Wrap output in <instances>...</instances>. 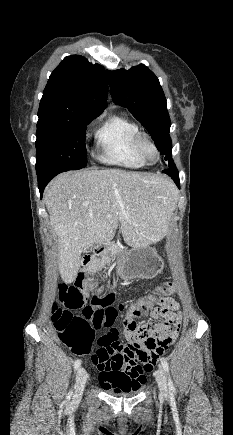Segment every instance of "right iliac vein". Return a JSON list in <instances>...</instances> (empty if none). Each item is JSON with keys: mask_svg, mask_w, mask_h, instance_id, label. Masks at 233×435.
<instances>
[{"mask_svg": "<svg viewBox=\"0 0 233 435\" xmlns=\"http://www.w3.org/2000/svg\"><path fill=\"white\" fill-rule=\"evenodd\" d=\"M87 380V373L84 368H79L76 373L75 397L81 398Z\"/></svg>", "mask_w": 233, "mask_h": 435, "instance_id": "1", "label": "right iliac vein"}]
</instances>
